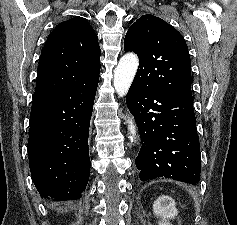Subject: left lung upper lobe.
<instances>
[{"label": "left lung upper lobe", "instance_id": "1", "mask_svg": "<svg viewBox=\"0 0 237 225\" xmlns=\"http://www.w3.org/2000/svg\"><path fill=\"white\" fill-rule=\"evenodd\" d=\"M124 50L139 57L133 83L145 91L192 96L191 61L181 34L162 19L146 14L126 33Z\"/></svg>", "mask_w": 237, "mask_h": 225}]
</instances>
